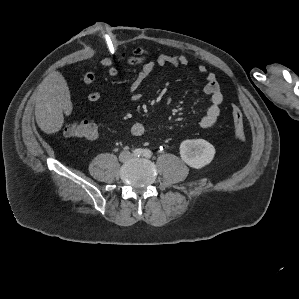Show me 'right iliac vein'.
Listing matches in <instances>:
<instances>
[{
    "label": "right iliac vein",
    "mask_w": 299,
    "mask_h": 299,
    "mask_svg": "<svg viewBox=\"0 0 299 299\" xmlns=\"http://www.w3.org/2000/svg\"><path fill=\"white\" fill-rule=\"evenodd\" d=\"M121 158H122V159H127V158H129V154H128V153H123V154L121 155Z\"/></svg>",
    "instance_id": "63e3f726"
}]
</instances>
